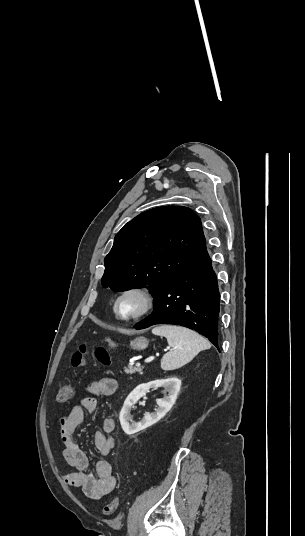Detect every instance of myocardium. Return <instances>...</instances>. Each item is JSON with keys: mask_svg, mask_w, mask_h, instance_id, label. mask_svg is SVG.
<instances>
[{"mask_svg": "<svg viewBox=\"0 0 305 536\" xmlns=\"http://www.w3.org/2000/svg\"><path fill=\"white\" fill-rule=\"evenodd\" d=\"M129 293L140 294L144 299V307L141 312H139L138 314L132 317H122L118 312V302L124 295L129 294ZM155 303H156L155 296L148 287L143 286V285H131V286L125 287L117 294L112 304V313H113L114 319L118 323H122V324L137 323V322L142 321L143 319H145L151 314V312L153 311L155 307Z\"/></svg>", "mask_w": 305, "mask_h": 536, "instance_id": "f54148a6", "label": "myocardium"}]
</instances>
